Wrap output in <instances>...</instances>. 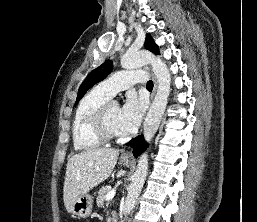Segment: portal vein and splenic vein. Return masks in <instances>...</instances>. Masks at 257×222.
Listing matches in <instances>:
<instances>
[{"instance_id": "1", "label": "portal vein and splenic vein", "mask_w": 257, "mask_h": 222, "mask_svg": "<svg viewBox=\"0 0 257 222\" xmlns=\"http://www.w3.org/2000/svg\"><path fill=\"white\" fill-rule=\"evenodd\" d=\"M115 193H116V190L115 189H113V190H111L107 195H106V201H109V200H111V199H113V197L115 196Z\"/></svg>"}]
</instances>
